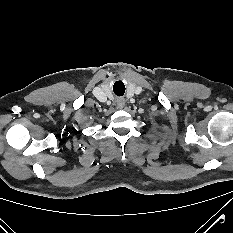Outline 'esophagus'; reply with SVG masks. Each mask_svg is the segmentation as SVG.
Here are the masks:
<instances>
[{
  "label": "esophagus",
  "mask_w": 233,
  "mask_h": 233,
  "mask_svg": "<svg viewBox=\"0 0 233 233\" xmlns=\"http://www.w3.org/2000/svg\"><path fill=\"white\" fill-rule=\"evenodd\" d=\"M117 104H118V108L122 109L124 107L125 102H124V100L119 99Z\"/></svg>",
  "instance_id": "esophagus-1"
}]
</instances>
